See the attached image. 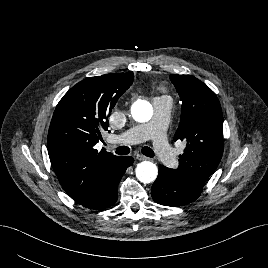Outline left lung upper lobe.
<instances>
[{"instance_id": "5c2ea615", "label": "left lung upper lobe", "mask_w": 268, "mask_h": 268, "mask_svg": "<svg viewBox=\"0 0 268 268\" xmlns=\"http://www.w3.org/2000/svg\"><path fill=\"white\" fill-rule=\"evenodd\" d=\"M182 101L174 141L186 143L177 169H169L181 183L202 192L223 153V115L216 94L191 75H170Z\"/></svg>"}]
</instances>
